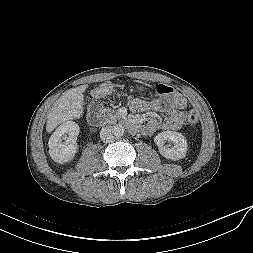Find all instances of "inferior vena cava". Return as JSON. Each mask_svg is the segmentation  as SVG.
Instances as JSON below:
<instances>
[{
	"mask_svg": "<svg viewBox=\"0 0 253 253\" xmlns=\"http://www.w3.org/2000/svg\"><path fill=\"white\" fill-rule=\"evenodd\" d=\"M100 138L103 142H111L114 139V130L111 126H106L100 131Z\"/></svg>",
	"mask_w": 253,
	"mask_h": 253,
	"instance_id": "1",
	"label": "inferior vena cava"
}]
</instances>
